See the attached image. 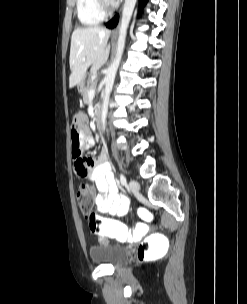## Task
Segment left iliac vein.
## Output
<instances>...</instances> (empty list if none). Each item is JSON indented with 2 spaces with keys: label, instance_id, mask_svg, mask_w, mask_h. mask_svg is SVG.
Wrapping results in <instances>:
<instances>
[{
  "label": "left iliac vein",
  "instance_id": "4c4485c4",
  "mask_svg": "<svg viewBox=\"0 0 247 304\" xmlns=\"http://www.w3.org/2000/svg\"><path fill=\"white\" fill-rule=\"evenodd\" d=\"M129 189L132 193H138L140 190V184L136 180L129 182Z\"/></svg>",
  "mask_w": 247,
  "mask_h": 304
}]
</instances>
